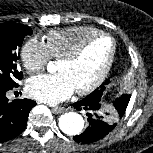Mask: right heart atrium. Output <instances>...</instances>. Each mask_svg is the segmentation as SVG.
Wrapping results in <instances>:
<instances>
[{
    "label": "right heart atrium",
    "mask_w": 153,
    "mask_h": 153,
    "mask_svg": "<svg viewBox=\"0 0 153 153\" xmlns=\"http://www.w3.org/2000/svg\"><path fill=\"white\" fill-rule=\"evenodd\" d=\"M20 57L28 72H38L44 69L51 55L44 42L30 38L22 45Z\"/></svg>",
    "instance_id": "obj_1"
}]
</instances>
